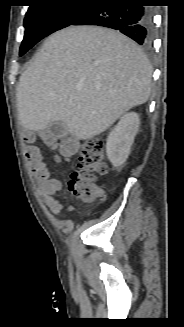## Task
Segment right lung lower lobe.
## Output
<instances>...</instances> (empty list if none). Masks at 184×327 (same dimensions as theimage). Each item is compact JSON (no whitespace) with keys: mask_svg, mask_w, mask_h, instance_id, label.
<instances>
[{"mask_svg":"<svg viewBox=\"0 0 184 327\" xmlns=\"http://www.w3.org/2000/svg\"><path fill=\"white\" fill-rule=\"evenodd\" d=\"M143 0H95L72 25H97L119 30L140 45L152 40V16Z\"/></svg>","mask_w":184,"mask_h":327,"instance_id":"obj_1","label":"right lung lower lobe"}]
</instances>
